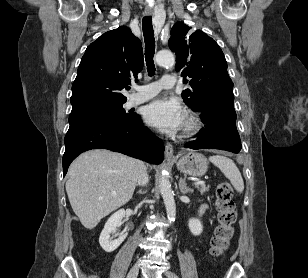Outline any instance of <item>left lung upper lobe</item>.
Returning a JSON list of instances; mask_svg holds the SVG:
<instances>
[{
  "instance_id": "5c2ea615",
  "label": "left lung upper lobe",
  "mask_w": 308,
  "mask_h": 278,
  "mask_svg": "<svg viewBox=\"0 0 308 278\" xmlns=\"http://www.w3.org/2000/svg\"><path fill=\"white\" fill-rule=\"evenodd\" d=\"M183 22L171 29L170 49L176 53V70L191 89L182 92L184 102L200 111L204 106L224 98L234 99L233 82L227 62L218 44L201 30L189 33Z\"/></svg>"
}]
</instances>
